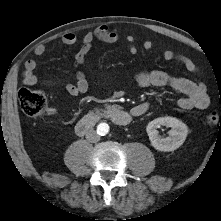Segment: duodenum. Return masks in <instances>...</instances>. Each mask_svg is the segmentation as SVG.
Masks as SVG:
<instances>
[{
    "label": "duodenum",
    "instance_id": "obj_1",
    "mask_svg": "<svg viewBox=\"0 0 221 221\" xmlns=\"http://www.w3.org/2000/svg\"><path fill=\"white\" fill-rule=\"evenodd\" d=\"M134 112L128 113L117 106L91 112L80 119L76 126L77 135L86 134L101 118H107L119 126L129 125L134 116H140L147 112L149 106L141 104L134 108Z\"/></svg>",
    "mask_w": 221,
    "mask_h": 221
}]
</instances>
